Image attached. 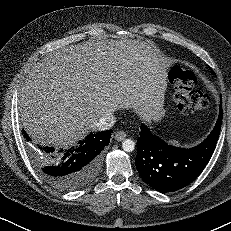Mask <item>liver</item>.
<instances>
[{
    "label": "liver",
    "mask_w": 231,
    "mask_h": 231,
    "mask_svg": "<svg viewBox=\"0 0 231 231\" xmlns=\"http://www.w3.org/2000/svg\"><path fill=\"white\" fill-rule=\"evenodd\" d=\"M168 65L153 44L102 40L49 53L20 89L19 114L37 142L67 147L118 109L151 123L164 116Z\"/></svg>",
    "instance_id": "liver-1"
}]
</instances>
